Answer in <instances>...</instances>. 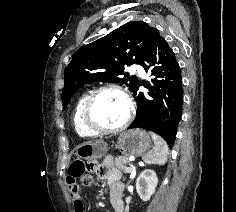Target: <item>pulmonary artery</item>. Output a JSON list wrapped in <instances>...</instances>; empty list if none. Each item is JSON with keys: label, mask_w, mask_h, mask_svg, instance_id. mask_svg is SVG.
Masks as SVG:
<instances>
[{"label": "pulmonary artery", "mask_w": 236, "mask_h": 212, "mask_svg": "<svg viewBox=\"0 0 236 212\" xmlns=\"http://www.w3.org/2000/svg\"><path fill=\"white\" fill-rule=\"evenodd\" d=\"M134 69L140 76L145 77L146 74H145V71L142 67L137 66Z\"/></svg>", "instance_id": "obj_1"}]
</instances>
